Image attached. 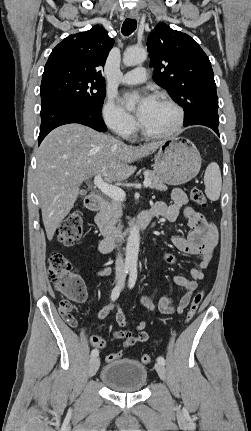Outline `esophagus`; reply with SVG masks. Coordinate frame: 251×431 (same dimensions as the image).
Here are the masks:
<instances>
[{"label": "esophagus", "mask_w": 251, "mask_h": 431, "mask_svg": "<svg viewBox=\"0 0 251 431\" xmlns=\"http://www.w3.org/2000/svg\"><path fill=\"white\" fill-rule=\"evenodd\" d=\"M128 16H129V18H131V19H138V18H139L138 13H137V12H135V11H131V12L128 14Z\"/></svg>", "instance_id": "esophagus-1"}]
</instances>
